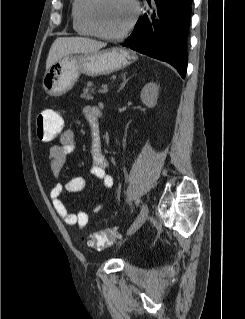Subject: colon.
I'll return each mask as SVG.
<instances>
[{"label":"colon","mask_w":245,"mask_h":319,"mask_svg":"<svg viewBox=\"0 0 245 319\" xmlns=\"http://www.w3.org/2000/svg\"><path fill=\"white\" fill-rule=\"evenodd\" d=\"M63 126V119L56 111H43L37 117V135L41 141L51 142L56 140L61 135ZM119 238L120 235L115 229H107L90 233L86 241L91 247L104 249L112 246Z\"/></svg>","instance_id":"5ec220e1"}]
</instances>
